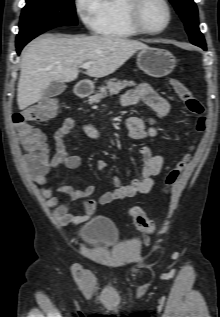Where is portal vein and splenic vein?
Here are the masks:
<instances>
[{"label": "portal vein and splenic vein", "mask_w": 220, "mask_h": 317, "mask_svg": "<svg viewBox=\"0 0 220 317\" xmlns=\"http://www.w3.org/2000/svg\"><path fill=\"white\" fill-rule=\"evenodd\" d=\"M91 65H92V63H83L80 67L83 69H88L91 67Z\"/></svg>", "instance_id": "1"}]
</instances>
